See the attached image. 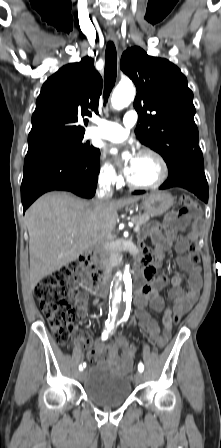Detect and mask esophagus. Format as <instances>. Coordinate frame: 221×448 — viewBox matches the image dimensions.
<instances>
[{
    "instance_id": "34e87169",
    "label": "esophagus",
    "mask_w": 221,
    "mask_h": 448,
    "mask_svg": "<svg viewBox=\"0 0 221 448\" xmlns=\"http://www.w3.org/2000/svg\"><path fill=\"white\" fill-rule=\"evenodd\" d=\"M108 40L115 42L117 40V38L115 35H108Z\"/></svg>"
}]
</instances>
